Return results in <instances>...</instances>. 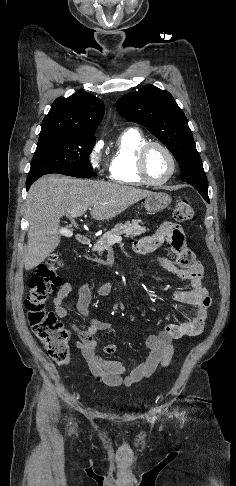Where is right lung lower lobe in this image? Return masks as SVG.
I'll use <instances>...</instances> for the list:
<instances>
[{"mask_svg": "<svg viewBox=\"0 0 236 486\" xmlns=\"http://www.w3.org/2000/svg\"><path fill=\"white\" fill-rule=\"evenodd\" d=\"M40 177L41 176H36V177L31 178V179H27L26 190H29L32 183L35 182Z\"/></svg>", "mask_w": 236, "mask_h": 486, "instance_id": "98d812e1", "label": "right lung lower lobe"}]
</instances>
